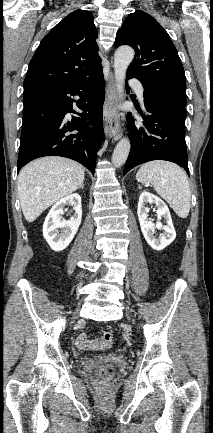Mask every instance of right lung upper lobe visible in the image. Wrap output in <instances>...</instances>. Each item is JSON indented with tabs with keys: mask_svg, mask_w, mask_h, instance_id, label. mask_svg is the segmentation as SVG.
I'll list each match as a JSON object with an SVG mask.
<instances>
[{
	"mask_svg": "<svg viewBox=\"0 0 213 433\" xmlns=\"http://www.w3.org/2000/svg\"><path fill=\"white\" fill-rule=\"evenodd\" d=\"M97 29L89 11L76 10L41 41L24 80V88H64L102 69Z\"/></svg>",
	"mask_w": 213,
	"mask_h": 433,
	"instance_id": "obj_1",
	"label": "right lung upper lobe"
}]
</instances>
